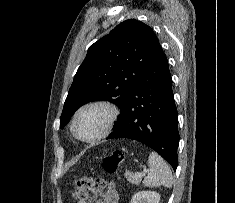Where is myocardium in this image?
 I'll use <instances>...</instances> for the list:
<instances>
[{
  "label": "myocardium",
  "instance_id": "myocardium-1",
  "mask_svg": "<svg viewBox=\"0 0 235 203\" xmlns=\"http://www.w3.org/2000/svg\"><path fill=\"white\" fill-rule=\"evenodd\" d=\"M94 107H99V108H103L104 110L107 111L108 117L105 123V126L103 128V130L95 137L93 138H89V139H85L82 138L76 129V122L77 119L79 117V115L89 109V108H94ZM119 116V109L118 107L110 102V101H106V100H95V101H90L87 102L85 104H83L81 107H79L77 109V111L74 113L72 121H71V131L72 134L74 135V137L84 143H96L100 140H102L103 138H105L106 136H108L110 134V132L112 131L117 119Z\"/></svg>",
  "mask_w": 235,
  "mask_h": 203
}]
</instances>
